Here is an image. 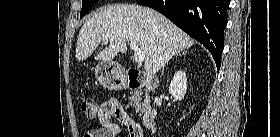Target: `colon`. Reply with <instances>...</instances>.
<instances>
[{
    "instance_id": "1",
    "label": "colon",
    "mask_w": 280,
    "mask_h": 137,
    "mask_svg": "<svg viewBox=\"0 0 280 137\" xmlns=\"http://www.w3.org/2000/svg\"><path fill=\"white\" fill-rule=\"evenodd\" d=\"M81 109L89 118H95L99 113V106L94 100H83L81 103ZM130 136L142 137V132L133 128Z\"/></svg>"
}]
</instances>
